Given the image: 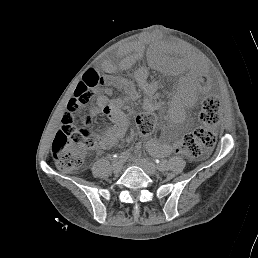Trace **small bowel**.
<instances>
[{"instance_id": "1", "label": "small bowel", "mask_w": 258, "mask_h": 258, "mask_svg": "<svg viewBox=\"0 0 258 258\" xmlns=\"http://www.w3.org/2000/svg\"><path fill=\"white\" fill-rule=\"evenodd\" d=\"M141 53L140 48H135L133 53L128 54L121 61V65L124 67L131 66L137 56ZM110 66V65H109ZM198 73L197 69H192V74L196 75ZM97 113H101L105 115L107 118L114 122L113 126L107 127L103 130L100 143L98 146V150H108L114 147L118 140L124 135L125 128L124 126L117 120L115 116V112L112 107L107 103L106 99L102 96H99L96 100L95 107L91 111V114L95 115ZM149 146L155 151H161L162 144L155 141H148ZM166 148H168V144H163Z\"/></svg>"}]
</instances>
